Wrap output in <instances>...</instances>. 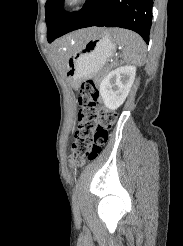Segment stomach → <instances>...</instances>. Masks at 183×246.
Wrapping results in <instances>:
<instances>
[{
  "label": "stomach",
  "mask_w": 183,
  "mask_h": 246,
  "mask_svg": "<svg viewBox=\"0 0 183 246\" xmlns=\"http://www.w3.org/2000/svg\"><path fill=\"white\" fill-rule=\"evenodd\" d=\"M112 31L111 29H100L92 39L83 44L69 42L65 45L66 75L73 86L99 73L111 58L116 48Z\"/></svg>",
  "instance_id": "1"
}]
</instances>
